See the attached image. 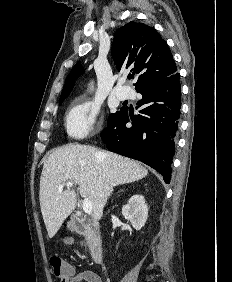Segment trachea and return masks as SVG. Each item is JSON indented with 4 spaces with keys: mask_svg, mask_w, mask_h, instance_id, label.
<instances>
[{
    "mask_svg": "<svg viewBox=\"0 0 232 282\" xmlns=\"http://www.w3.org/2000/svg\"><path fill=\"white\" fill-rule=\"evenodd\" d=\"M132 78V76H128V79H131Z\"/></svg>",
    "mask_w": 232,
    "mask_h": 282,
    "instance_id": "obj_1",
    "label": "trachea"
}]
</instances>
